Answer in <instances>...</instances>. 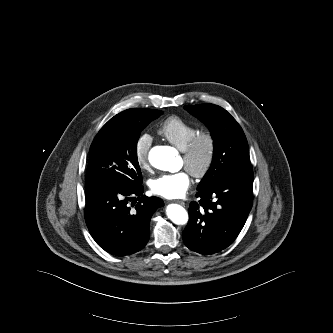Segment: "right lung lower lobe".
I'll use <instances>...</instances> for the list:
<instances>
[{
	"instance_id": "98d812e1",
	"label": "right lung lower lobe",
	"mask_w": 333,
	"mask_h": 333,
	"mask_svg": "<svg viewBox=\"0 0 333 333\" xmlns=\"http://www.w3.org/2000/svg\"><path fill=\"white\" fill-rule=\"evenodd\" d=\"M142 194L141 184L86 182L85 221L94 240L108 253L130 255L148 242L150 219L164 203ZM135 196L139 201L136 205Z\"/></svg>"
}]
</instances>
